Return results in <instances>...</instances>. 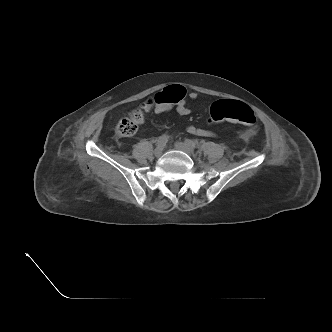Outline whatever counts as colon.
<instances>
[{
  "label": "colon",
  "mask_w": 332,
  "mask_h": 332,
  "mask_svg": "<svg viewBox=\"0 0 332 332\" xmlns=\"http://www.w3.org/2000/svg\"><path fill=\"white\" fill-rule=\"evenodd\" d=\"M185 96V89L180 85H172L156 94L153 101L157 104H175ZM151 102L144 104V108ZM255 114L253 110L245 103L222 99L214 102L210 108V123H219L230 121L245 125L255 123ZM143 121V113L139 109L132 110L128 116L122 118L116 127L117 133L121 136L134 135L140 123Z\"/></svg>",
  "instance_id": "5ec220e1"
}]
</instances>
